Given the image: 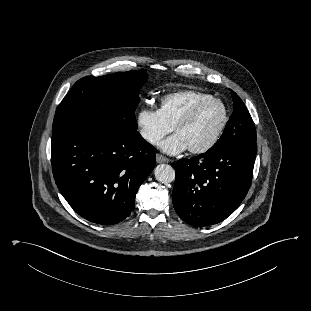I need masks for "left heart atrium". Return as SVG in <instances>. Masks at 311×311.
I'll return each instance as SVG.
<instances>
[{"mask_svg":"<svg viewBox=\"0 0 311 311\" xmlns=\"http://www.w3.org/2000/svg\"><path fill=\"white\" fill-rule=\"evenodd\" d=\"M159 147L163 152L170 155L179 154L188 148L182 137L177 133L162 141Z\"/></svg>","mask_w":311,"mask_h":311,"instance_id":"39dd6f15","label":"left heart atrium"}]
</instances>
